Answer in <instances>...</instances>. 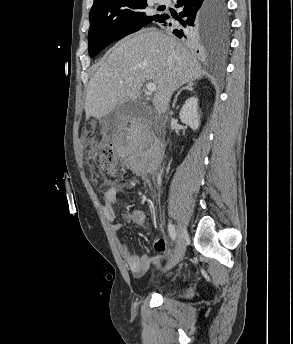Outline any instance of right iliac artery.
<instances>
[{
	"mask_svg": "<svg viewBox=\"0 0 293 344\" xmlns=\"http://www.w3.org/2000/svg\"><path fill=\"white\" fill-rule=\"evenodd\" d=\"M168 232H169L170 238L173 241H175V239H176V229H175L174 225L171 224V223L168 224Z\"/></svg>",
	"mask_w": 293,
	"mask_h": 344,
	"instance_id": "82829eb1",
	"label": "right iliac artery"
}]
</instances>
